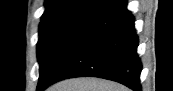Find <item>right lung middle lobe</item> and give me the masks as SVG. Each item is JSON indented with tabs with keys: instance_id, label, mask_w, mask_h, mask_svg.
Returning a JSON list of instances; mask_svg holds the SVG:
<instances>
[{
	"instance_id": "obj_1",
	"label": "right lung middle lobe",
	"mask_w": 173,
	"mask_h": 91,
	"mask_svg": "<svg viewBox=\"0 0 173 91\" xmlns=\"http://www.w3.org/2000/svg\"><path fill=\"white\" fill-rule=\"evenodd\" d=\"M111 0H104L102 5H113ZM86 21L70 20L50 24H40L37 56L40 64L39 83L47 79L54 65Z\"/></svg>"
}]
</instances>
